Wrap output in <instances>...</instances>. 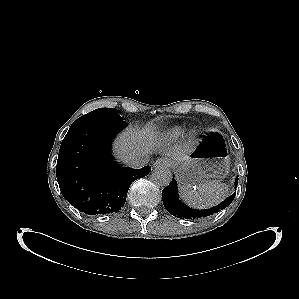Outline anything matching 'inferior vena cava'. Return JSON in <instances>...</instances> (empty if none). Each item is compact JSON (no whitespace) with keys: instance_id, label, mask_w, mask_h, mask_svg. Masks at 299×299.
<instances>
[{"instance_id":"1","label":"inferior vena cava","mask_w":299,"mask_h":299,"mask_svg":"<svg viewBox=\"0 0 299 299\" xmlns=\"http://www.w3.org/2000/svg\"><path fill=\"white\" fill-rule=\"evenodd\" d=\"M149 162L148 155H142L138 157H133L126 161V164L131 168H142Z\"/></svg>"}]
</instances>
